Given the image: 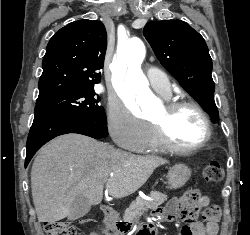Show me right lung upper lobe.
<instances>
[{
    "label": "right lung upper lobe",
    "instance_id": "1",
    "mask_svg": "<svg viewBox=\"0 0 250 235\" xmlns=\"http://www.w3.org/2000/svg\"><path fill=\"white\" fill-rule=\"evenodd\" d=\"M107 33L100 21H74L50 39L43 58L39 96L87 88L100 82Z\"/></svg>",
    "mask_w": 250,
    "mask_h": 235
}]
</instances>
